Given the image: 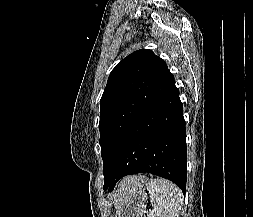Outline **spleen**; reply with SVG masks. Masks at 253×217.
Listing matches in <instances>:
<instances>
[{
	"label": "spleen",
	"instance_id": "spleen-1",
	"mask_svg": "<svg viewBox=\"0 0 253 217\" xmlns=\"http://www.w3.org/2000/svg\"><path fill=\"white\" fill-rule=\"evenodd\" d=\"M150 203L154 208L153 217H177L181 209V191L169 180L151 179L146 184Z\"/></svg>",
	"mask_w": 253,
	"mask_h": 217
}]
</instances>
